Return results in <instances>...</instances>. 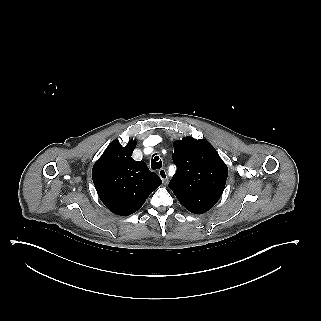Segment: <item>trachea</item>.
<instances>
[{"instance_id":"1","label":"trachea","mask_w":321,"mask_h":321,"mask_svg":"<svg viewBox=\"0 0 321 321\" xmlns=\"http://www.w3.org/2000/svg\"><path fill=\"white\" fill-rule=\"evenodd\" d=\"M162 167V161L156 154L152 155L151 168L153 170L160 169Z\"/></svg>"}]
</instances>
